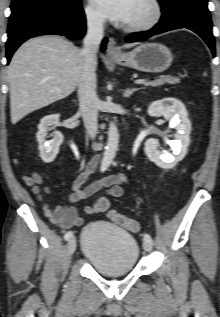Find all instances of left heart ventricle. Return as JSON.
<instances>
[{
	"instance_id": "b2bd125f",
	"label": "left heart ventricle",
	"mask_w": 220,
	"mask_h": 317,
	"mask_svg": "<svg viewBox=\"0 0 220 317\" xmlns=\"http://www.w3.org/2000/svg\"><path fill=\"white\" fill-rule=\"evenodd\" d=\"M151 7L146 0H134L130 17L126 24H134L146 20L151 15Z\"/></svg>"
}]
</instances>
